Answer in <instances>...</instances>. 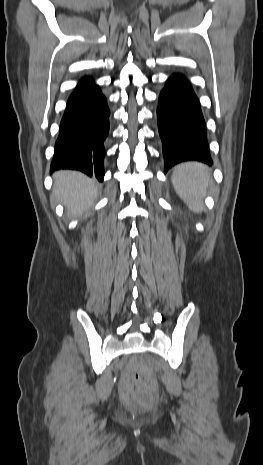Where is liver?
Returning a JSON list of instances; mask_svg holds the SVG:
<instances>
[{"label": "liver", "mask_w": 263, "mask_h": 465, "mask_svg": "<svg viewBox=\"0 0 263 465\" xmlns=\"http://www.w3.org/2000/svg\"><path fill=\"white\" fill-rule=\"evenodd\" d=\"M54 195L72 215L86 212L98 194L95 181L76 171H59L54 175Z\"/></svg>", "instance_id": "liver-1"}]
</instances>
